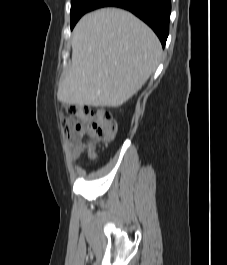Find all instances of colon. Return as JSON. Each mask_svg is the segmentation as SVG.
I'll list each match as a JSON object with an SVG mask.
<instances>
[{
	"mask_svg": "<svg viewBox=\"0 0 227 265\" xmlns=\"http://www.w3.org/2000/svg\"><path fill=\"white\" fill-rule=\"evenodd\" d=\"M69 114L73 117L74 124L71 120H65V131L68 135L72 129L79 133L78 143L84 149L93 150L97 143L110 142L116 135V122L105 109L86 105L72 106Z\"/></svg>",
	"mask_w": 227,
	"mask_h": 265,
	"instance_id": "5ec220e1",
	"label": "colon"
}]
</instances>
